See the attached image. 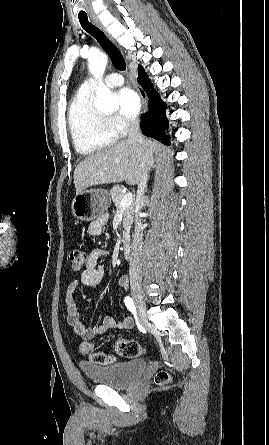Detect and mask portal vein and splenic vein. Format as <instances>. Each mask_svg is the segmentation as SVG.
<instances>
[{"label": "portal vein and splenic vein", "instance_id": "1", "mask_svg": "<svg viewBox=\"0 0 269 445\" xmlns=\"http://www.w3.org/2000/svg\"><path fill=\"white\" fill-rule=\"evenodd\" d=\"M133 202V194L132 193H127L124 195L123 199L120 202V209H126L128 208Z\"/></svg>", "mask_w": 269, "mask_h": 445}]
</instances>
